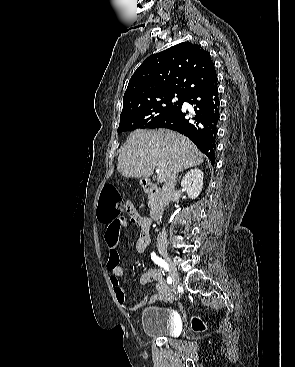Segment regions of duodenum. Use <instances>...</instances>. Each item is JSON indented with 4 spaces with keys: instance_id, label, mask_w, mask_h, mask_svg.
Wrapping results in <instances>:
<instances>
[{
    "instance_id": "410a0bca",
    "label": "duodenum",
    "mask_w": 295,
    "mask_h": 367,
    "mask_svg": "<svg viewBox=\"0 0 295 367\" xmlns=\"http://www.w3.org/2000/svg\"><path fill=\"white\" fill-rule=\"evenodd\" d=\"M141 185L144 191L152 197L150 217L154 220L159 219L165 211V200L161 188L148 178L142 179Z\"/></svg>"
}]
</instances>
